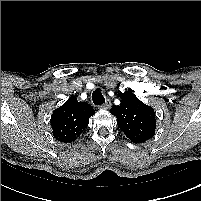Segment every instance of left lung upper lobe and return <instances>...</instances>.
<instances>
[{"mask_svg": "<svg viewBox=\"0 0 201 201\" xmlns=\"http://www.w3.org/2000/svg\"><path fill=\"white\" fill-rule=\"evenodd\" d=\"M131 90L118 94L121 103L113 106L111 113L116 116L119 128L131 141L145 142L155 134L156 115L154 109L140 101Z\"/></svg>", "mask_w": 201, "mask_h": 201, "instance_id": "left-lung-upper-lobe-1", "label": "left lung upper lobe"}]
</instances>
